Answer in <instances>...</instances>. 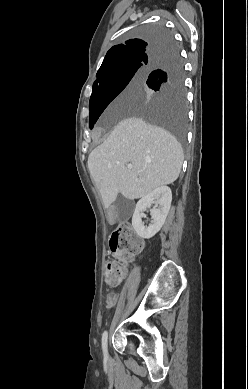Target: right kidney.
I'll use <instances>...</instances> for the list:
<instances>
[{"mask_svg": "<svg viewBox=\"0 0 248 389\" xmlns=\"http://www.w3.org/2000/svg\"><path fill=\"white\" fill-rule=\"evenodd\" d=\"M171 201L172 192L167 186L156 188L138 201L132 216V226L140 237L150 239L160 231L170 210ZM152 204H155L150 212L152 224L145 226L142 221L143 212Z\"/></svg>", "mask_w": 248, "mask_h": 389, "instance_id": "1", "label": "right kidney"}]
</instances>
